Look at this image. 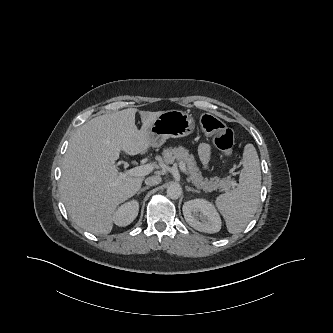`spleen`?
<instances>
[{"mask_svg": "<svg viewBox=\"0 0 333 333\" xmlns=\"http://www.w3.org/2000/svg\"><path fill=\"white\" fill-rule=\"evenodd\" d=\"M237 188L219 195L215 204L223 215L229 233L243 231L256 213L260 202L261 170L255 147L247 144Z\"/></svg>", "mask_w": 333, "mask_h": 333, "instance_id": "obj_1", "label": "spleen"}]
</instances>
